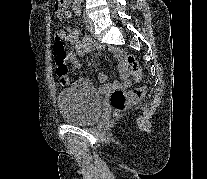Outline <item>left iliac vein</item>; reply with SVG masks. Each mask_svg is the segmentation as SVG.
Segmentation results:
<instances>
[{"instance_id": "4c4485c4", "label": "left iliac vein", "mask_w": 207, "mask_h": 179, "mask_svg": "<svg viewBox=\"0 0 207 179\" xmlns=\"http://www.w3.org/2000/svg\"><path fill=\"white\" fill-rule=\"evenodd\" d=\"M85 25L88 31H93V23L87 16H85Z\"/></svg>"}]
</instances>
